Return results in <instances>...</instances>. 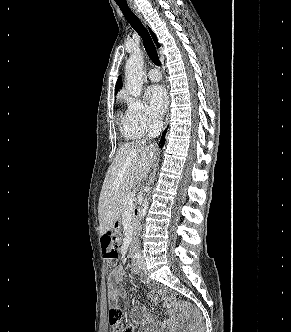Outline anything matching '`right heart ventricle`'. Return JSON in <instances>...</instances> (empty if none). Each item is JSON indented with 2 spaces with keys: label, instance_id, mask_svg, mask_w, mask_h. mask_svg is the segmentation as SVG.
I'll return each instance as SVG.
<instances>
[{
  "label": "right heart ventricle",
  "instance_id": "right-heart-ventricle-1",
  "mask_svg": "<svg viewBox=\"0 0 291 332\" xmlns=\"http://www.w3.org/2000/svg\"><path fill=\"white\" fill-rule=\"evenodd\" d=\"M122 127H123V133L125 137L128 139H137L142 135V133H140L138 130H136L134 127L130 125L127 119V114H125L122 118Z\"/></svg>",
  "mask_w": 291,
  "mask_h": 332
}]
</instances>
